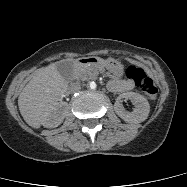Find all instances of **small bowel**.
I'll use <instances>...</instances> for the list:
<instances>
[{
    "label": "small bowel",
    "mask_w": 187,
    "mask_h": 187,
    "mask_svg": "<svg viewBox=\"0 0 187 187\" xmlns=\"http://www.w3.org/2000/svg\"><path fill=\"white\" fill-rule=\"evenodd\" d=\"M134 83L132 80L116 79L108 84V88L114 92H124L133 89Z\"/></svg>",
    "instance_id": "small-bowel-1"
}]
</instances>
